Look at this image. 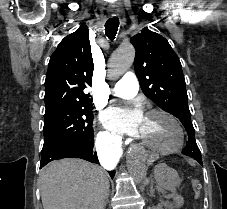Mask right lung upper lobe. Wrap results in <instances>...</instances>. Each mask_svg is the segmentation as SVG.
Instances as JSON below:
<instances>
[{"instance_id": "obj_1", "label": "right lung upper lobe", "mask_w": 227, "mask_h": 209, "mask_svg": "<svg viewBox=\"0 0 227 209\" xmlns=\"http://www.w3.org/2000/svg\"><path fill=\"white\" fill-rule=\"evenodd\" d=\"M93 59L88 27L82 24L65 37L50 57L45 80V103L56 98L90 99Z\"/></svg>"}]
</instances>
